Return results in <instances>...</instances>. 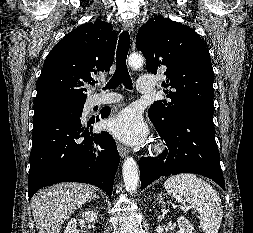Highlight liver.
<instances>
[{"label": "liver", "mask_w": 253, "mask_h": 233, "mask_svg": "<svg viewBox=\"0 0 253 233\" xmlns=\"http://www.w3.org/2000/svg\"><path fill=\"white\" fill-rule=\"evenodd\" d=\"M94 191L93 186L68 182L37 192L31 209L38 233H59L65 220L94 198Z\"/></svg>", "instance_id": "obj_1"}]
</instances>
